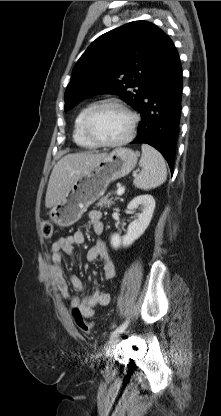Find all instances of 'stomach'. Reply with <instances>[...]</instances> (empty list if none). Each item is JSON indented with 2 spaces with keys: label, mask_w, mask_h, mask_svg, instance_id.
Wrapping results in <instances>:
<instances>
[{
  "label": "stomach",
  "mask_w": 221,
  "mask_h": 416,
  "mask_svg": "<svg viewBox=\"0 0 221 416\" xmlns=\"http://www.w3.org/2000/svg\"><path fill=\"white\" fill-rule=\"evenodd\" d=\"M137 160V153L129 148L114 149L79 175L51 209V221L61 227L73 225L91 204L104 195L111 182L133 170Z\"/></svg>",
  "instance_id": "stomach-1"
}]
</instances>
